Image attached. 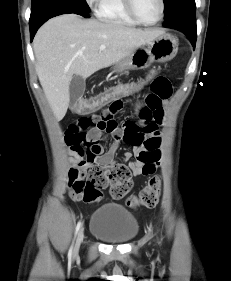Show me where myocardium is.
Listing matches in <instances>:
<instances>
[{
    "instance_id": "1",
    "label": "myocardium",
    "mask_w": 231,
    "mask_h": 281,
    "mask_svg": "<svg viewBox=\"0 0 231 281\" xmlns=\"http://www.w3.org/2000/svg\"><path fill=\"white\" fill-rule=\"evenodd\" d=\"M124 3V7L127 11V13L131 16V18L133 20H135L137 23L142 24V25H146V26H154L159 24L165 15V0H160V4H161V11H160V15L158 17V19H156L155 21H145L143 20L137 13L135 6H134V0H123Z\"/></svg>"
}]
</instances>
